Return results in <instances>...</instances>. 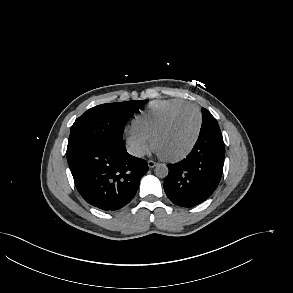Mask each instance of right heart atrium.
Here are the masks:
<instances>
[{
	"label": "right heart atrium",
	"mask_w": 293,
	"mask_h": 293,
	"mask_svg": "<svg viewBox=\"0 0 293 293\" xmlns=\"http://www.w3.org/2000/svg\"><path fill=\"white\" fill-rule=\"evenodd\" d=\"M125 142L129 152L136 157H142L150 148L149 138L137 133L133 129L126 131Z\"/></svg>",
	"instance_id": "right-heart-atrium-1"
}]
</instances>
